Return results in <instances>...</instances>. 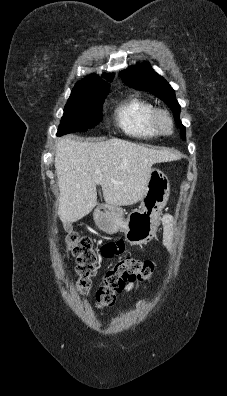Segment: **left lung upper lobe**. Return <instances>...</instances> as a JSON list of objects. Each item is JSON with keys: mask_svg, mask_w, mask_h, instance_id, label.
Listing matches in <instances>:
<instances>
[{"mask_svg": "<svg viewBox=\"0 0 227 396\" xmlns=\"http://www.w3.org/2000/svg\"><path fill=\"white\" fill-rule=\"evenodd\" d=\"M120 75L123 81L129 86L139 90L149 91L153 95L162 99L173 111L174 118L180 128L182 138L183 140H186L185 127L179 120L181 107L175 98V91L163 77L154 72L146 62L129 67L128 69L123 70Z\"/></svg>", "mask_w": 227, "mask_h": 396, "instance_id": "obj_1", "label": "left lung upper lobe"}]
</instances>
